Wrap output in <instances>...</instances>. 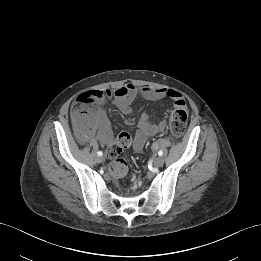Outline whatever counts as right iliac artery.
I'll return each instance as SVG.
<instances>
[{
	"mask_svg": "<svg viewBox=\"0 0 261 261\" xmlns=\"http://www.w3.org/2000/svg\"><path fill=\"white\" fill-rule=\"evenodd\" d=\"M97 154H98V156H102L103 155L102 151H98Z\"/></svg>",
	"mask_w": 261,
	"mask_h": 261,
	"instance_id": "right-iliac-artery-1",
	"label": "right iliac artery"
}]
</instances>
